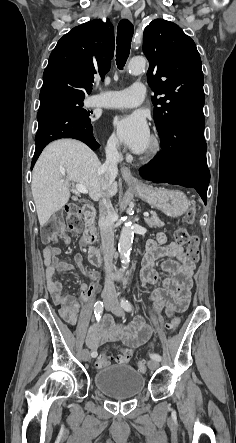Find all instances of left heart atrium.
Listing matches in <instances>:
<instances>
[{
  "instance_id": "39dd6f15",
  "label": "left heart atrium",
  "mask_w": 236,
  "mask_h": 443,
  "mask_svg": "<svg viewBox=\"0 0 236 443\" xmlns=\"http://www.w3.org/2000/svg\"><path fill=\"white\" fill-rule=\"evenodd\" d=\"M110 125L116 138L136 153L143 152L150 142V130L141 112L114 116Z\"/></svg>"
}]
</instances>
